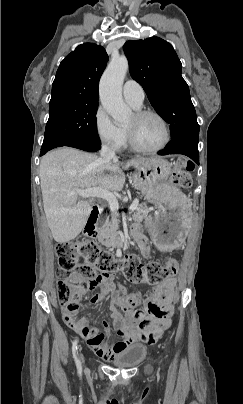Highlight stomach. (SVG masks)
Listing matches in <instances>:
<instances>
[{
  "instance_id": "0dacf381",
  "label": "stomach",
  "mask_w": 243,
  "mask_h": 404,
  "mask_svg": "<svg viewBox=\"0 0 243 404\" xmlns=\"http://www.w3.org/2000/svg\"><path fill=\"white\" fill-rule=\"evenodd\" d=\"M170 174V163L160 157L149 158L133 173L135 186L156 208L153 215L146 216L145 224L155 246L164 252L180 247L191 225V204L168 181Z\"/></svg>"
}]
</instances>
